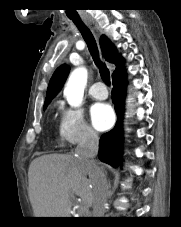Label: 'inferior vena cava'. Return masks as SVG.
Instances as JSON below:
<instances>
[{"mask_svg":"<svg viewBox=\"0 0 181 227\" xmlns=\"http://www.w3.org/2000/svg\"><path fill=\"white\" fill-rule=\"evenodd\" d=\"M99 137L92 129H87L84 140L78 144L75 153L89 168L93 169V217H104L109 184L102 170L95 164Z\"/></svg>","mask_w":181,"mask_h":227,"instance_id":"obj_1","label":"inferior vena cava"}]
</instances>
